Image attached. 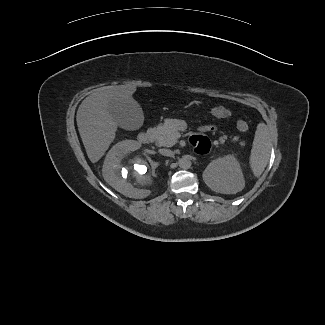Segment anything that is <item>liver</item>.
<instances>
[{
    "instance_id": "1",
    "label": "liver",
    "mask_w": 325,
    "mask_h": 325,
    "mask_svg": "<svg viewBox=\"0 0 325 325\" xmlns=\"http://www.w3.org/2000/svg\"><path fill=\"white\" fill-rule=\"evenodd\" d=\"M136 87L131 85L105 86L95 89L80 104L77 126L88 158L99 161L114 141L118 125L108 107L112 100L133 99Z\"/></svg>"
}]
</instances>
